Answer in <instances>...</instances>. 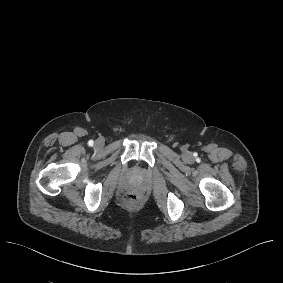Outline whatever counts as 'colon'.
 <instances>
[{
    "instance_id": "1",
    "label": "colon",
    "mask_w": 283,
    "mask_h": 283,
    "mask_svg": "<svg viewBox=\"0 0 283 283\" xmlns=\"http://www.w3.org/2000/svg\"><path fill=\"white\" fill-rule=\"evenodd\" d=\"M122 201H123V203H125L127 205L134 206V205H137L139 203L140 198H139L138 195L129 194V195H126L125 197H123Z\"/></svg>"
}]
</instances>
